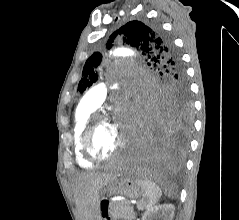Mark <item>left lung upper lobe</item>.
<instances>
[{
    "label": "left lung upper lobe",
    "mask_w": 239,
    "mask_h": 220,
    "mask_svg": "<svg viewBox=\"0 0 239 220\" xmlns=\"http://www.w3.org/2000/svg\"><path fill=\"white\" fill-rule=\"evenodd\" d=\"M116 36L120 37L123 44L140 50L153 62L154 67L161 70L160 75L164 77L165 82L156 93L155 109L167 110L180 127L188 128L191 123L192 103L183 65L169 38L158 26H149L140 21H130L114 32L107 42L108 49ZM101 60V54L95 52L86 61L82 72L83 78L78 85L80 92L98 79L94 68H97Z\"/></svg>",
    "instance_id": "left-lung-upper-lobe-1"
}]
</instances>
